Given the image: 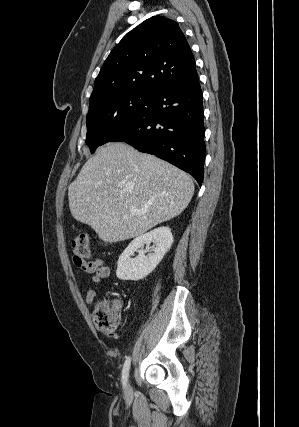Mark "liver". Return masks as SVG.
<instances>
[{"label": "liver", "instance_id": "obj_1", "mask_svg": "<svg viewBox=\"0 0 299 427\" xmlns=\"http://www.w3.org/2000/svg\"><path fill=\"white\" fill-rule=\"evenodd\" d=\"M193 193L187 173L122 142L99 148L68 187L72 216L108 243L178 216Z\"/></svg>", "mask_w": 299, "mask_h": 427}]
</instances>
